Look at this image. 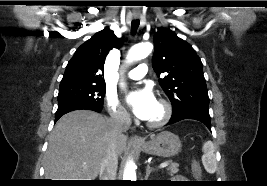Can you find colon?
<instances>
[{
  "mask_svg": "<svg viewBox=\"0 0 267 186\" xmlns=\"http://www.w3.org/2000/svg\"><path fill=\"white\" fill-rule=\"evenodd\" d=\"M192 171L195 174H200L201 173V167H200V164L197 161H194L193 162V164H192Z\"/></svg>",
  "mask_w": 267,
  "mask_h": 186,
  "instance_id": "1",
  "label": "colon"
}]
</instances>
